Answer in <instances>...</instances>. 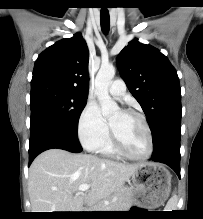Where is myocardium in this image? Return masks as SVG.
<instances>
[{"instance_id":"f54148a6","label":"myocardium","mask_w":203,"mask_h":219,"mask_svg":"<svg viewBox=\"0 0 203 219\" xmlns=\"http://www.w3.org/2000/svg\"><path fill=\"white\" fill-rule=\"evenodd\" d=\"M124 112L132 114L134 116H137L141 120V122L143 123L144 128H145L146 133H147V142H148L147 151L143 156H136V155H133L132 153H130L126 149V147L123 145V143L121 142V140L117 136L115 130L113 129V127L110 124L112 143H113L115 149L120 154L125 156L126 158L134 160V161H146L152 156L153 150H154L153 136H152V131H151V128L149 126V123H148L146 117L142 113H140L136 110L129 109V110H126Z\"/></svg>"}]
</instances>
